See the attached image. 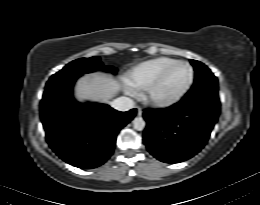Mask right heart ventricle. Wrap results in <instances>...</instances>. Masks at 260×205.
Masks as SVG:
<instances>
[{"label":"right heart ventricle","mask_w":260,"mask_h":205,"mask_svg":"<svg viewBox=\"0 0 260 205\" xmlns=\"http://www.w3.org/2000/svg\"><path fill=\"white\" fill-rule=\"evenodd\" d=\"M177 61L171 57H157L136 65L127 75L126 83L135 90L145 89L168 65Z\"/></svg>","instance_id":"e07e8e85"}]
</instances>
